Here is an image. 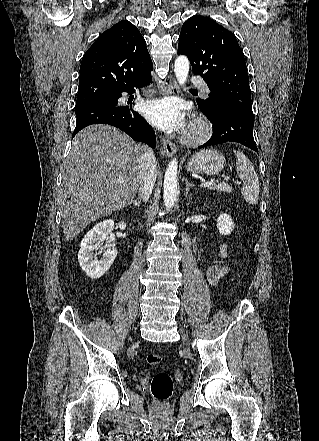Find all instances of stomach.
I'll return each mask as SVG.
<instances>
[{
    "instance_id": "stomach-1",
    "label": "stomach",
    "mask_w": 319,
    "mask_h": 441,
    "mask_svg": "<svg viewBox=\"0 0 319 441\" xmlns=\"http://www.w3.org/2000/svg\"><path fill=\"white\" fill-rule=\"evenodd\" d=\"M225 157L215 149H205L192 155L187 169L195 173L216 175L224 169Z\"/></svg>"
}]
</instances>
